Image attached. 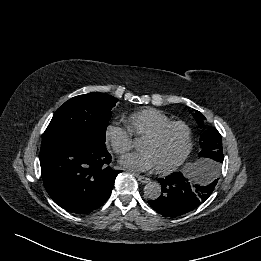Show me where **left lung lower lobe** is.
<instances>
[{"label":"left lung lower lobe","instance_id":"1","mask_svg":"<svg viewBox=\"0 0 261 261\" xmlns=\"http://www.w3.org/2000/svg\"><path fill=\"white\" fill-rule=\"evenodd\" d=\"M201 170L204 175L202 182L191 183L181 172L158 179L162 193L148 203L166 217H176L194 210L209 198L218 182L217 166L205 163Z\"/></svg>","mask_w":261,"mask_h":261}]
</instances>
